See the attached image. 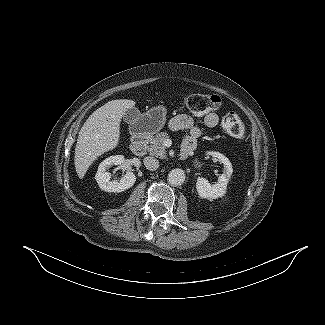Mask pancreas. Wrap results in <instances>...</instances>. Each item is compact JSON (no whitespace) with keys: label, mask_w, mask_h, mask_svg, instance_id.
I'll return each mask as SVG.
<instances>
[{"label":"pancreas","mask_w":325,"mask_h":325,"mask_svg":"<svg viewBox=\"0 0 325 325\" xmlns=\"http://www.w3.org/2000/svg\"><path fill=\"white\" fill-rule=\"evenodd\" d=\"M167 138H169V135L166 132L158 133L152 137L148 146L149 153L159 158H165L166 149L164 146V141Z\"/></svg>","instance_id":"pancreas-1"}]
</instances>
